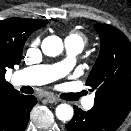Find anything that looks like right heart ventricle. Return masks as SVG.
I'll list each match as a JSON object with an SVG mask.
<instances>
[{
  "mask_svg": "<svg viewBox=\"0 0 131 131\" xmlns=\"http://www.w3.org/2000/svg\"><path fill=\"white\" fill-rule=\"evenodd\" d=\"M67 40L73 41V42H79L84 46L88 42V37L84 33L78 30L72 29L68 32L66 36L65 41Z\"/></svg>",
  "mask_w": 131,
  "mask_h": 131,
  "instance_id": "right-heart-ventricle-1",
  "label": "right heart ventricle"
}]
</instances>
